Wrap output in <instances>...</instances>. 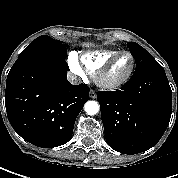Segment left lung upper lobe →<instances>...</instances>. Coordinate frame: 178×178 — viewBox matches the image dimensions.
I'll return each instance as SVG.
<instances>
[{
    "label": "left lung upper lobe",
    "instance_id": "1",
    "mask_svg": "<svg viewBox=\"0 0 178 178\" xmlns=\"http://www.w3.org/2000/svg\"><path fill=\"white\" fill-rule=\"evenodd\" d=\"M127 45L136 62L134 75H138L152 69L162 68V66L139 44L128 42Z\"/></svg>",
    "mask_w": 178,
    "mask_h": 178
}]
</instances>
